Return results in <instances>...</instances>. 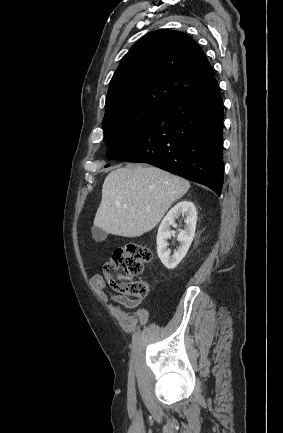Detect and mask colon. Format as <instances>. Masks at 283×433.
I'll return each mask as SVG.
<instances>
[{"instance_id": "colon-1", "label": "colon", "mask_w": 283, "mask_h": 433, "mask_svg": "<svg viewBox=\"0 0 283 433\" xmlns=\"http://www.w3.org/2000/svg\"><path fill=\"white\" fill-rule=\"evenodd\" d=\"M152 258L151 250L140 243L130 242L117 248L103 266V275L110 288L122 296L144 299L148 294L145 281L134 280Z\"/></svg>"}]
</instances>
